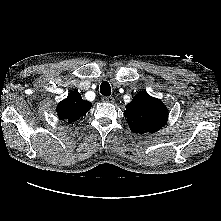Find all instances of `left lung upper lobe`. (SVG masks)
<instances>
[{"instance_id": "1", "label": "left lung upper lobe", "mask_w": 221, "mask_h": 221, "mask_svg": "<svg viewBox=\"0 0 221 221\" xmlns=\"http://www.w3.org/2000/svg\"><path fill=\"white\" fill-rule=\"evenodd\" d=\"M124 115L134 133H154L165 125L168 110L161 100L141 92L126 105Z\"/></svg>"}]
</instances>
